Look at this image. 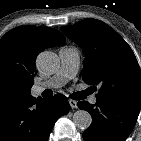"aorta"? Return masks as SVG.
<instances>
[{
  "instance_id": "aorta-1",
  "label": "aorta",
  "mask_w": 141,
  "mask_h": 141,
  "mask_svg": "<svg viewBox=\"0 0 141 141\" xmlns=\"http://www.w3.org/2000/svg\"><path fill=\"white\" fill-rule=\"evenodd\" d=\"M36 65L41 72L53 74L59 69L60 61L54 52L43 51L38 55ZM73 123L77 128L85 130L89 128L92 123L91 114L85 110H77L73 114Z\"/></svg>"
}]
</instances>
